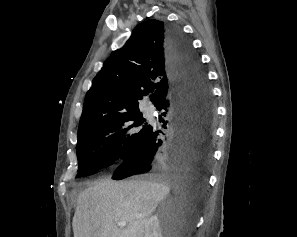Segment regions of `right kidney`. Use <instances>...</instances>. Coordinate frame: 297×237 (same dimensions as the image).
<instances>
[{
  "instance_id": "ca27d5eb",
  "label": "right kidney",
  "mask_w": 297,
  "mask_h": 237,
  "mask_svg": "<svg viewBox=\"0 0 297 237\" xmlns=\"http://www.w3.org/2000/svg\"><path fill=\"white\" fill-rule=\"evenodd\" d=\"M167 233L163 231L158 215H153L147 221L145 226L144 237H168Z\"/></svg>"
}]
</instances>
